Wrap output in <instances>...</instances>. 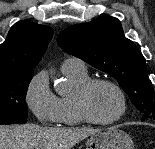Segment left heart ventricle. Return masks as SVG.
I'll return each instance as SVG.
<instances>
[{"mask_svg":"<svg viewBox=\"0 0 155 149\" xmlns=\"http://www.w3.org/2000/svg\"><path fill=\"white\" fill-rule=\"evenodd\" d=\"M91 113L100 120H109L118 115L121 102L117 92L108 85H98L88 96Z\"/></svg>","mask_w":155,"mask_h":149,"instance_id":"b2bd125f","label":"left heart ventricle"}]
</instances>
